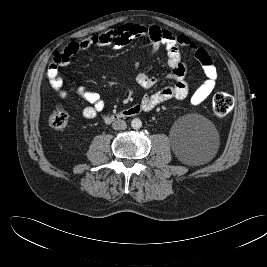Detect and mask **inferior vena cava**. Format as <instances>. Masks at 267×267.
I'll return each instance as SVG.
<instances>
[{
	"mask_svg": "<svg viewBox=\"0 0 267 267\" xmlns=\"http://www.w3.org/2000/svg\"><path fill=\"white\" fill-rule=\"evenodd\" d=\"M112 127L114 130H124L127 125L124 120H116L112 123Z\"/></svg>",
	"mask_w": 267,
	"mask_h": 267,
	"instance_id": "602c4592",
	"label": "inferior vena cava"
}]
</instances>
